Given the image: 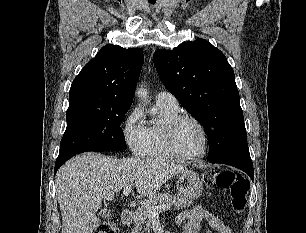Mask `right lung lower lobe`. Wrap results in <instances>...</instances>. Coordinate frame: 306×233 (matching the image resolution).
<instances>
[{
  "instance_id": "obj_1",
  "label": "right lung lower lobe",
  "mask_w": 306,
  "mask_h": 233,
  "mask_svg": "<svg viewBox=\"0 0 306 233\" xmlns=\"http://www.w3.org/2000/svg\"><path fill=\"white\" fill-rule=\"evenodd\" d=\"M74 156V155H73ZM72 156L70 157H67L65 159H62V160H57L56 163H55V168H54V173H56V171L59 169V167L61 165H63L69 158H71Z\"/></svg>"
}]
</instances>
